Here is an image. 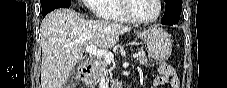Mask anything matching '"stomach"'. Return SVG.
<instances>
[{
    "mask_svg": "<svg viewBox=\"0 0 227 88\" xmlns=\"http://www.w3.org/2000/svg\"><path fill=\"white\" fill-rule=\"evenodd\" d=\"M137 37L147 45L149 56L157 61H166L172 52V44L169 34L160 27L154 26L140 33Z\"/></svg>",
    "mask_w": 227,
    "mask_h": 88,
    "instance_id": "1",
    "label": "stomach"
}]
</instances>
